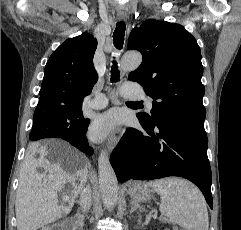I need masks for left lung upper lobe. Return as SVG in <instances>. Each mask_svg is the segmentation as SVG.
Instances as JSON below:
<instances>
[{"instance_id": "obj_1", "label": "left lung upper lobe", "mask_w": 241, "mask_h": 230, "mask_svg": "<svg viewBox=\"0 0 241 230\" xmlns=\"http://www.w3.org/2000/svg\"><path fill=\"white\" fill-rule=\"evenodd\" d=\"M127 48L138 50L143 56L141 65L129 74V80L140 83L154 99L151 116L143 113L138 118L152 124L159 115L169 113L205 120L201 50L183 26L147 20L131 31Z\"/></svg>"}]
</instances>
